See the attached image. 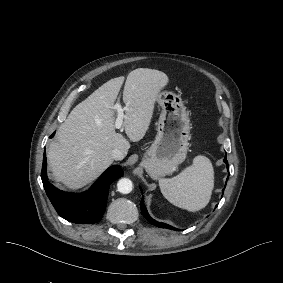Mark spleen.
<instances>
[{
  "label": "spleen",
  "mask_w": 283,
  "mask_h": 283,
  "mask_svg": "<svg viewBox=\"0 0 283 283\" xmlns=\"http://www.w3.org/2000/svg\"><path fill=\"white\" fill-rule=\"evenodd\" d=\"M163 196L173 205L191 212L199 211L210 201L214 188V170L211 161L202 155L179 175L159 179Z\"/></svg>",
  "instance_id": "spleen-1"
}]
</instances>
